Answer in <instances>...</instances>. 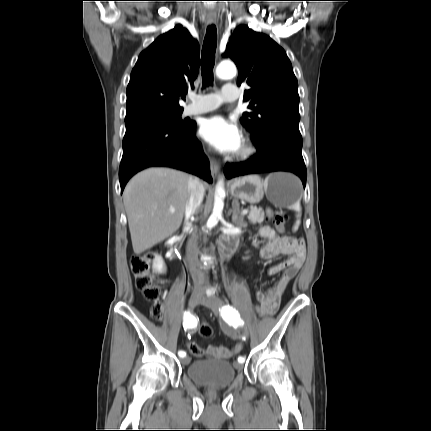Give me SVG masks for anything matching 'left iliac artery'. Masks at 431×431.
<instances>
[{
  "mask_svg": "<svg viewBox=\"0 0 431 431\" xmlns=\"http://www.w3.org/2000/svg\"><path fill=\"white\" fill-rule=\"evenodd\" d=\"M221 316L223 317L224 320H226L231 325L237 326L241 323L243 324L238 311L235 308H233L231 305H224L221 308ZM244 361H245L244 357L238 358L239 363H244Z\"/></svg>",
  "mask_w": 431,
  "mask_h": 431,
  "instance_id": "1",
  "label": "left iliac artery"
}]
</instances>
